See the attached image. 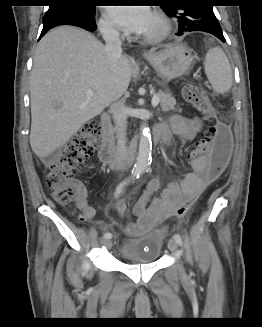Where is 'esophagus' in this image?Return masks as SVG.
Returning <instances> with one entry per match:
<instances>
[{
	"label": "esophagus",
	"instance_id": "esophagus-1",
	"mask_svg": "<svg viewBox=\"0 0 262 327\" xmlns=\"http://www.w3.org/2000/svg\"><path fill=\"white\" fill-rule=\"evenodd\" d=\"M144 55H150L148 51H144Z\"/></svg>",
	"mask_w": 262,
	"mask_h": 327
}]
</instances>
